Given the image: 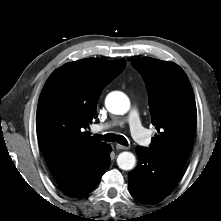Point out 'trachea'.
<instances>
[{"label": "trachea", "instance_id": "trachea-1", "mask_svg": "<svg viewBox=\"0 0 221 221\" xmlns=\"http://www.w3.org/2000/svg\"><path fill=\"white\" fill-rule=\"evenodd\" d=\"M103 141L107 142H118L121 145L128 146L127 139L122 135H115L114 133H107L101 138Z\"/></svg>", "mask_w": 221, "mask_h": 221}]
</instances>
